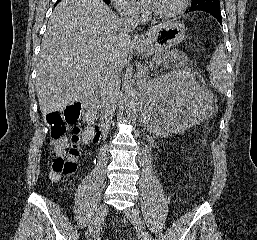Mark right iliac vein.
<instances>
[{
  "mask_svg": "<svg viewBox=\"0 0 257 240\" xmlns=\"http://www.w3.org/2000/svg\"><path fill=\"white\" fill-rule=\"evenodd\" d=\"M107 212H108L107 204H102L98 208L86 231L87 238H90L92 235L96 233L101 223L103 222L104 218L106 217Z\"/></svg>",
  "mask_w": 257,
  "mask_h": 240,
  "instance_id": "obj_1",
  "label": "right iliac vein"
}]
</instances>
